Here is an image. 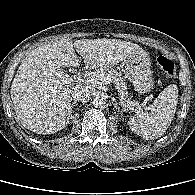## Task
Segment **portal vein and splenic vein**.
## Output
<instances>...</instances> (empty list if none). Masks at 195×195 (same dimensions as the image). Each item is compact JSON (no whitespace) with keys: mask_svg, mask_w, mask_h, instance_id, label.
<instances>
[{"mask_svg":"<svg viewBox=\"0 0 195 195\" xmlns=\"http://www.w3.org/2000/svg\"><path fill=\"white\" fill-rule=\"evenodd\" d=\"M87 82L90 83L92 86H97V85H106V84H110L112 81L111 79L104 75V74H101L100 76H92V77H88L87 78ZM141 107H139V110H140ZM126 111V110H124Z\"/></svg>","mask_w":195,"mask_h":195,"instance_id":"1","label":"portal vein and splenic vein"}]
</instances>
